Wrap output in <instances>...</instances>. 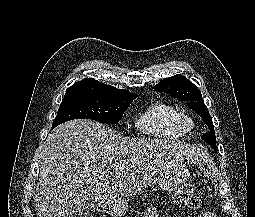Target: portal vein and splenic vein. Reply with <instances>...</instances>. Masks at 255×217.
Here are the masks:
<instances>
[{"label": "portal vein and splenic vein", "mask_w": 255, "mask_h": 217, "mask_svg": "<svg viewBox=\"0 0 255 217\" xmlns=\"http://www.w3.org/2000/svg\"><path fill=\"white\" fill-rule=\"evenodd\" d=\"M123 167L122 166H117L116 170H122Z\"/></svg>", "instance_id": "18ae733b"}]
</instances>
